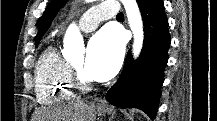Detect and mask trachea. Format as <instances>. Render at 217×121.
<instances>
[{
	"label": "trachea",
	"instance_id": "3493384b",
	"mask_svg": "<svg viewBox=\"0 0 217 121\" xmlns=\"http://www.w3.org/2000/svg\"><path fill=\"white\" fill-rule=\"evenodd\" d=\"M117 17H123V13H118Z\"/></svg>",
	"mask_w": 217,
	"mask_h": 121
}]
</instances>
